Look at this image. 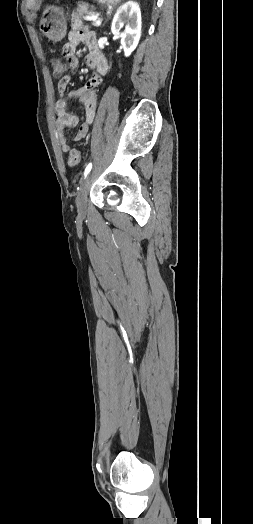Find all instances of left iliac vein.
Returning a JSON list of instances; mask_svg holds the SVG:
<instances>
[{"mask_svg": "<svg viewBox=\"0 0 253 524\" xmlns=\"http://www.w3.org/2000/svg\"><path fill=\"white\" fill-rule=\"evenodd\" d=\"M91 173L83 180L76 198V205L79 214H85L87 211V196L91 186Z\"/></svg>", "mask_w": 253, "mask_h": 524, "instance_id": "left-iliac-vein-1", "label": "left iliac vein"}]
</instances>
